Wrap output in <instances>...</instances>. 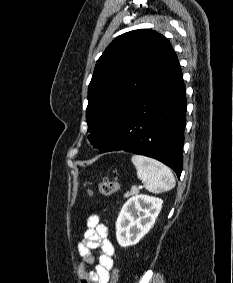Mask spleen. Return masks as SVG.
Wrapping results in <instances>:
<instances>
[{"mask_svg": "<svg viewBox=\"0 0 233 283\" xmlns=\"http://www.w3.org/2000/svg\"><path fill=\"white\" fill-rule=\"evenodd\" d=\"M131 161L136 167L138 178L144 182L148 191L161 193L175 187L172 171L161 162L137 154L132 156Z\"/></svg>", "mask_w": 233, "mask_h": 283, "instance_id": "1", "label": "spleen"}]
</instances>
